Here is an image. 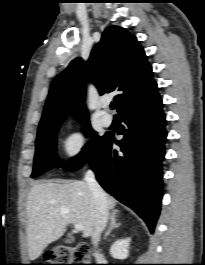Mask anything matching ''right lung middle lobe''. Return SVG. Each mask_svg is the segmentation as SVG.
Segmentation results:
<instances>
[{"mask_svg":"<svg viewBox=\"0 0 205 265\" xmlns=\"http://www.w3.org/2000/svg\"><path fill=\"white\" fill-rule=\"evenodd\" d=\"M62 123L51 125L41 131H38L36 140V153L34 158V167L31 177L35 178L42 175L45 171L52 168L61 167L66 171H76L84 166L87 160L95 154L96 150L101 146L106 134L98 136L90 127L89 121L84 120V132L91 139L83 147L82 152L66 163L61 161L56 156V134Z\"/></svg>","mask_w":205,"mask_h":265,"instance_id":"obj_1","label":"right lung middle lobe"}]
</instances>
